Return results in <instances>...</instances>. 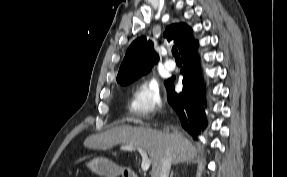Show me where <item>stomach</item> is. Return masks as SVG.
<instances>
[{
	"mask_svg": "<svg viewBox=\"0 0 287 177\" xmlns=\"http://www.w3.org/2000/svg\"><path fill=\"white\" fill-rule=\"evenodd\" d=\"M86 167L102 177H118L124 175L125 169L104 157H96L85 162Z\"/></svg>",
	"mask_w": 287,
	"mask_h": 177,
	"instance_id": "stomach-1",
	"label": "stomach"
}]
</instances>
